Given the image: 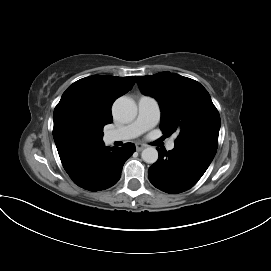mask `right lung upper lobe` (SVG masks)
<instances>
[{
  "mask_svg": "<svg viewBox=\"0 0 271 271\" xmlns=\"http://www.w3.org/2000/svg\"><path fill=\"white\" fill-rule=\"evenodd\" d=\"M136 77L93 75L70 85L55 107L53 137L66 172L103 148V127L113 121V102L127 93Z\"/></svg>",
  "mask_w": 271,
  "mask_h": 271,
  "instance_id": "obj_1",
  "label": "right lung upper lobe"
}]
</instances>
